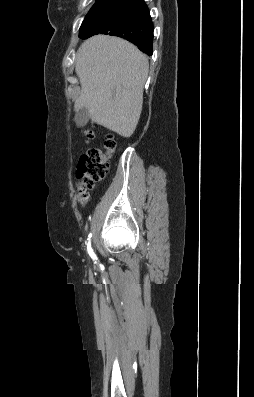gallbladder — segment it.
I'll return each instance as SVG.
<instances>
[{"mask_svg":"<svg viewBox=\"0 0 254 397\" xmlns=\"http://www.w3.org/2000/svg\"><path fill=\"white\" fill-rule=\"evenodd\" d=\"M89 119V111L86 107H82L81 109L76 111L75 114V122L78 126H85Z\"/></svg>","mask_w":254,"mask_h":397,"instance_id":"gallbladder-1","label":"gallbladder"}]
</instances>
